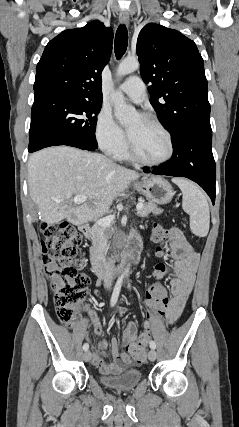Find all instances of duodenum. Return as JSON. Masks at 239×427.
Here are the masks:
<instances>
[{"label": "duodenum", "instance_id": "1", "mask_svg": "<svg viewBox=\"0 0 239 427\" xmlns=\"http://www.w3.org/2000/svg\"><path fill=\"white\" fill-rule=\"evenodd\" d=\"M81 232L87 238L91 236V229L88 226L81 227ZM140 248V243H133L131 249L124 255L120 264L114 269H111L104 262L98 251L95 248H92L90 252L91 269L99 278L107 280L119 274L129 264L137 263L139 259Z\"/></svg>", "mask_w": 239, "mask_h": 427}]
</instances>
